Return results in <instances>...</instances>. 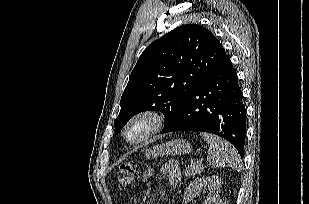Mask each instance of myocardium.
<instances>
[{
    "label": "myocardium",
    "instance_id": "1",
    "mask_svg": "<svg viewBox=\"0 0 309 204\" xmlns=\"http://www.w3.org/2000/svg\"><path fill=\"white\" fill-rule=\"evenodd\" d=\"M142 121H146L149 123L148 130L142 137L135 139V140L130 139L129 134H128L130 128L134 124L142 122ZM164 122H165V117L163 113H161L160 111L155 110V109L143 110L133 115L127 121V123L125 124L123 128L122 135L127 143L131 145H139L147 141L148 139H150L157 132H159L164 126Z\"/></svg>",
    "mask_w": 309,
    "mask_h": 204
}]
</instances>
